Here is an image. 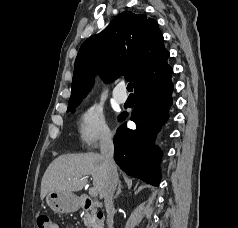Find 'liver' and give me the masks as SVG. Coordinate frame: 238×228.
Instances as JSON below:
<instances>
[{"mask_svg":"<svg viewBox=\"0 0 238 228\" xmlns=\"http://www.w3.org/2000/svg\"><path fill=\"white\" fill-rule=\"evenodd\" d=\"M88 175L100 198L104 197L108 172L102 155L97 153L62 155L54 159L41 181V199L52 191H80L87 184Z\"/></svg>","mask_w":238,"mask_h":228,"instance_id":"obj_1","label":"liver"}]
</instances>
